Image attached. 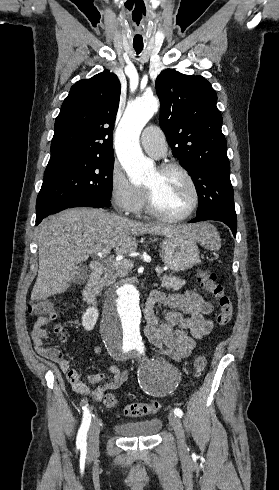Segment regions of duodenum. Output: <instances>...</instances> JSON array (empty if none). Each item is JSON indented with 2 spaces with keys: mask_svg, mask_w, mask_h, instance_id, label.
I'll list each match as a JSON object with an SVG mask.
<instances>
[{
  "mask_svg": "<svg viewBox=\"0 0 279 490\" xmlns=\"http://www.w3.org/2000/svg\"><path fill=\"white\" fill-rule=\"evenodd\" d=\"M91 274L83 288V299L90 305H96L97 301V282L104 271V266L99 261H94L90 265Z\"/></svg>",
  "mask_w": 279,
  "mask_h": 490,
  "instance_id": "duodenum-1",
  "label": "duodenum"
}]
</instances>
